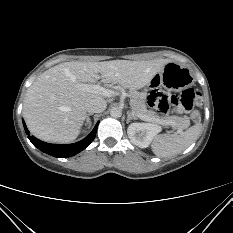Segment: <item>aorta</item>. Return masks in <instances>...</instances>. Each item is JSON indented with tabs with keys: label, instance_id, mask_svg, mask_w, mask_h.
Here are the masks:
<instances>
[{
	"label": "aorta",
	"instance_id": "1",
	"mask_svg": "<svg viewBox=\"0 0 233 233\" xmlns=\"http://www.w3.org/2000/svg\"><path fill=\"white\" fill-rule=\"evenodd\" d=\"M110 115L114 118H119L122 115V109L119 107H113L110 110Z\"/></svg>",
	"mask_w": 233,
	"mask_h": 233
}]
</instances>
